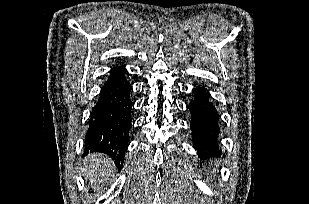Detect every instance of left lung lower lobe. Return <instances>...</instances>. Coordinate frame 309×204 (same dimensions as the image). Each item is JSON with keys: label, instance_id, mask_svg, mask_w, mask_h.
<instances>
[{"label": "left lung lower lobe", "instance_id": "obj_1", "mask_svg": "<svg viewBox=\"0 0 309 204\" xmlns=\"http://www.w3.org/2000/svg\"><path fill=\"white\" fill-rule=\"evenodd\" d=\"M192 92L193 98L188 109L191 113L193 146L198 156L206 159L220 152L219 114L204 88H195Z\"/></svg>", "mask_w": 309, "mask_h": 204}]
</instances>
